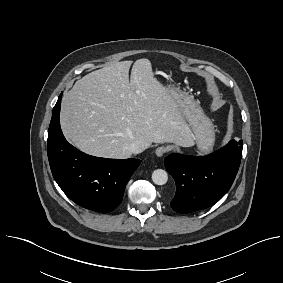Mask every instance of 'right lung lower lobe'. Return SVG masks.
I'll return each mask as SVG.
<instances>
[{
    "instance_id": "98d812e1",
    "label": "right lung lower lobe",
    "mask_w": 283,
    "mask_h": 283,
    "mask_svg": "<svg viewBox=\"0 0 283 283\" xmlns=\"http://www.w3.org/2000/svg\"><path fill=\"white\" fill-rule=\"evenodd\" d=\"M60 94L48 131L47 153L55 181L76 204L100 213L114 210L139 159H107L87 155L69 144L60 128Z\"/></svg>"
}]
</instances>
